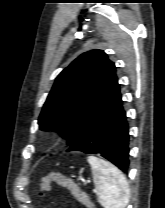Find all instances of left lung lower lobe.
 I'll return each mask as SVG.
<instances>
[{
  "mask_svg": "<svg viewBox=\"0 0 165 208\" xmlns=\"http://www.w3.org/2000/svg\"><path fill=\"white\" fill-rule=\"evenodd\" d=\"M129 130L117 83L102 105L89 117L67 151L99 153L124 173L129 167Z\"/></svg>",
  "mask_w": 165,
  "mask_h": 208,
  "instance_id": "obj_1",
  "label": "left lung lower lobe"
}]
</instances>
